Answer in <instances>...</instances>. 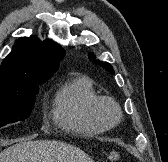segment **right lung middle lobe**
<instances>
[{
	"label": "right lung middle lobe",
	"instance_id": "dd1d6c3e",
	"mask_svg": "<svg viewBox=\"0 0 168 162\" xmlns=\"http://www.w3.org/2000/svg\"><path fill=\"white\" fill-rule=\"evenodd\" d=\"M43 82L45 81H26L15 88L0 91V127L30 116L35 95L39 91L37 84Z\"/></svg>",
	"mask_w": 168,
	"mask_h": 162
}]
</instances>
